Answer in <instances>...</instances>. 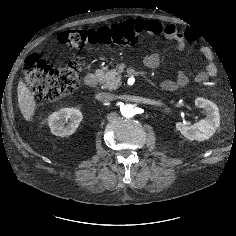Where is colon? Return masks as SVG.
<instances>
[{"label":"colon","instance_id":"1","mask_svg":"<svg viewBox=\"0 0 236 236\" xmlns=\"http://www.w3.org/2000/svg\"><path fill=\"white\" fill-rule=\"evenodd\" d=\"M143 30L142 21L127 20L108 27L63 31L58 40L74 50L101 44L132 46ZM83 66V59L76 57L65 67L52 68L39 55L31 54L24 64L23 79L36 96L55 100L75 91Z\"/></svg>","mask_w":236,"mask_h":236}]
</instances>
